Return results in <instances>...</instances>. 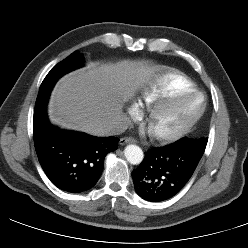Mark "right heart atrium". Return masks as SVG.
Returning a JSON list of instances; mask_svg holds the SVG:
<instances>
[{
    "label": "right heart atrium",
    "instance_id": "1",
    "mask_svg": "<svg viewBox=\"0 0 248 248\" xmlns=\"http://www.w3.org/2000/svg\"><path fill=\"white\" fill-rule=\"evenodd\" d=\"M128 113L131 117H137L139 115V106L136 103H131L128 106Z\"/></svg>",
    "mask_w": 248,
    "mask_h": 248
}]
</instances>
